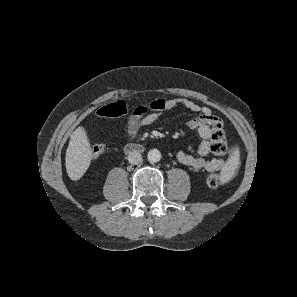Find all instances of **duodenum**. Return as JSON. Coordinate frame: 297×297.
<instances>
[{"label":"duodenum","instance_id":"obj_1","mask_svg":"<svg viewBox=\"0 0 297 297\" xmlns=\"http://www.w3.org/2000/svg\"><path fill=\"white\" fill-rule=\"evenodd\" d=\"M142 150V147L138 144H128L126 147H125V152L126 153H135V152H139Z\"/></svg>","mask_w":297,"mask_h":297}]
</instances>
